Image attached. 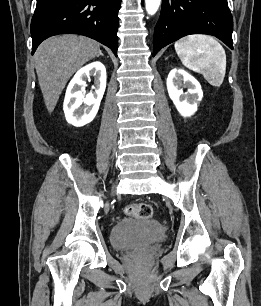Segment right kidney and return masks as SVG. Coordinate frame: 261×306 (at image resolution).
I'll use <instances>...</instances> for the list:
<instances>
[{"instance_id":"1","label":"right kidney","mask_w":261,"mask_h":306,"mask_svg":"<svg viewBox=\"0 0 261 306\" xmlns=\"http://www.w3.org/2000/svg\"><path fill=\"white\" fill-rule=\"evenodd\" d=\"M90 76L94 77L95 92L85 96L82 91ZM105 88L106 69L101 62L90 63L77 71L67 87L63 104L67 122L76 127L90 123L98 112Z\"/></svg>"}]
</instances>
